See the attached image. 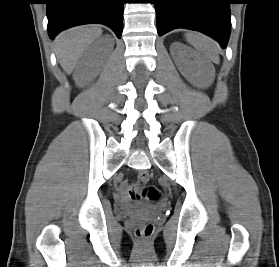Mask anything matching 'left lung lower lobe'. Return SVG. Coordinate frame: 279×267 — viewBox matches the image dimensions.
<instances>
[{
  "mask_svg": "<svg viewBox=\"0 0 279 267\" xmlns=\"http://www.w3.org/2000/svg\"><path fill=\"white\" fill-rule=\"evenodd\" d=\"M159 36L175 28L203 32L225 48L230 35L231 0H154Z\"/></svg>",
  "mask_w": 279,
  "mask_h": 267,
  "instance_id": "obj_1",
  "label": "left lung lower lobe"
}]
</instances>
